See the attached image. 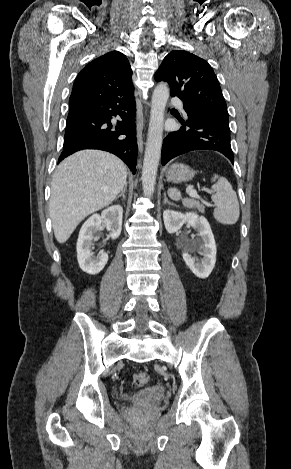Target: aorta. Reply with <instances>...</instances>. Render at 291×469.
Masks as SVG:
<instances>
[{
  "label": "aorta",
  "instance_id": "762f6f07",
  "mask_svg": "<svg viewBox=\"0 0 291 469\" xmlns=\"http://www.w3.org/2000/svg\"><path fill=\"white\" fill-rule=\"evenodd\" d=\"M168 98L167 84L159 83L152 95L148 137L142 168L141 180L145 196H151L154 192L162 148L164 111Z\"/></svg>",
  "mask_w": 291,
  "mask_h": 469
}]
</instances>
